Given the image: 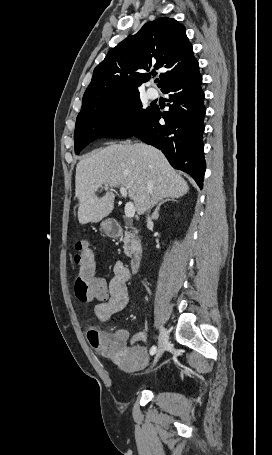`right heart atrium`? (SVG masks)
I'll use <instances>...</instances> for the list:
<instances>
[{
	"instance_id": "right-heart-atrium-1",
	"label": "right heart atrium",
	"mask_w": 272,
	"mask_h": 455,
	"mask_svg": "<svg viewBox=\"0 0 272 455\" xmlns=\"http://www.w3.org/2000/svg\"><path fill=\"white\" fill-rule=\"evenodd\" d=\"M134 113L132 108L129 106H124L120 108L116 114L115 122L117 126L122 129H129L134 124Z\"/></svg>"
}]
</instances>
